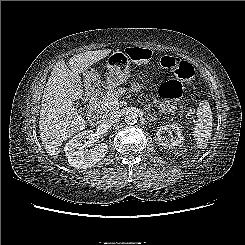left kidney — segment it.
<instances>
[{"mask_svg":"<svg viewBox=\"0 0 245 245\" xmlns=\"http://www.w3.org/2000/svg\"><path fill=\"white\" fill-rule=\"evenodd\" d=\"M167 133L170 136V139L166 138ZM157 140L163 147L171 148L173 146H180L183 143V136L178 125L172 124L170 126L160 127V129L157 131Z\"/></svg>","mask_w":245,"mask_h":245,"instance_id":"left-kidney-1","label":"left kidney"}]
</instances>
